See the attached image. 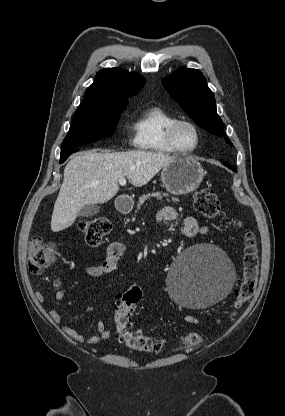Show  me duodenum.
Returning <instances> with one entry per match:
<instances>
[{
    "instance_id": "obj_1",
    "label": "duodenum",
    "mask_w": 285,
    "mask_h": 416,
    "mask_svg": "<svg viewBox=\"0 0 285 416\" xmlns=\"http://www.w3.org/2000/svg\"><path fill=\"white\" fill-rule=\"evenodd\" d=\"M115 203L117 205V209L120 212L126 213V212H129L131 209V206L134 205V198L129 197L127 193H122L120 197L116 198Z\"/></svg>"
}]
</instances>
